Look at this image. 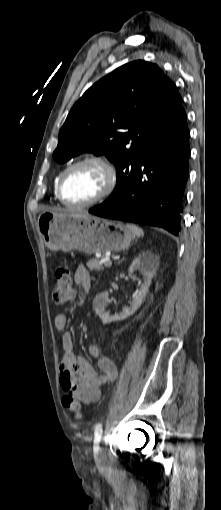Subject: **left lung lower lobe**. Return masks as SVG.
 <instances>
[{
    "label": "left lung lower lobe",
    "mask_w": 221,
    "mask_h": 510,
    "mask_svg": "<svg viewBox=\"0 0 221 510\" xmlns=\"http://www.w3.org/2000/svg\"><path fill=\"white\" fill-rule=\"evenodd\" d=\"M188 126L154 143L129 185L115 198L89 209L104 218L162 227L178 235L190 156Z\"/></svg>",
    "instance_id": "1"
}]
</instances>
